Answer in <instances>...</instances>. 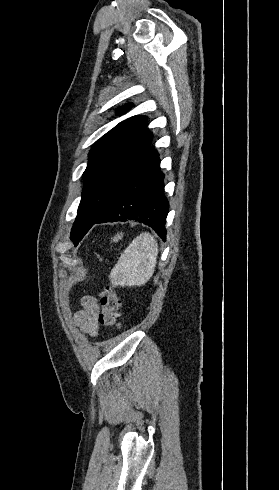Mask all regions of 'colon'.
I'll list each match as a JSON object with an SVG mask.
<instances>
[{"label": "colon", "mask_w": 279, "mask_h": 490, "mask_svg": "<svg viewBox=\"0 0 279 490\" xmlns=\"http://www.w3.org/2000/svg\"><path fill=\"white\" fill-rule=\"evenodd\" d=\"M100 299L101 307L98 315L99 323L107 327L121 326V300L117 292L113 287L108 286L102 291Z\"/></svg>", "instance_id": "obj_1"}]
</instances>
